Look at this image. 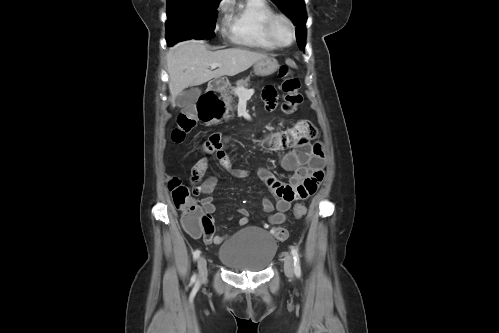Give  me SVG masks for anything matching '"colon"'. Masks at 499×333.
Returning a JSON list of instances; mask_svg holds the SVG:
<instances>
[{"label":"colon","instance_id":"colon-1","mask_svg":"<svg viewBox=\"0 0 499 333\" xmlns=\"http://www.w3.org/2000/svg\"><path fill=\"white\" fill-rule=\"evenodd\" d=\"M279 76L282 79L280 88L284 95L282 109L288 114L295 113L303 101V97L299 92V79L291 75L287 67L280 69ZM209 98L217 116L220 115L223 111V103L215 95H210ZM196 123V117L192 114L188 112L180 114L171 133L172 140L175 143L183 142L186 135L195 128ZM168 188L175 207L182 212L184 228L191 234L203 236L205 241H210L214 235L212 219L206 214L202 206L191 197L189 188L177 177L169 180ZM306 212L307 208L303 204H297L294 207L296 218L303 217ZM271 232L279 241H283L288 237V231L283 227H274Z\"/></svg>","mask_w":499,"mask_h":333}]
</instances>
